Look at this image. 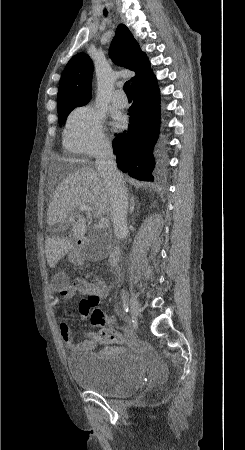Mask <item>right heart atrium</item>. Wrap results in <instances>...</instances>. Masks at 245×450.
I'll return each mask as SVG.
<instances>
[{
	"mask_svg": "<svg viewBox=\"0 0 245 450\" xmlns=\"http://www.w3.org/2000/svg\"><path fill=\"white\" fill-rule=\"evenodd\" d=\"M63 145L67 151L82 157L95 156L106 150L109 141L104 116L93 105L74 109L66 120Z\"/></svg>",
	"mask_w": 245,
	"mask_h": 450,
	"instance_id": "1",
	"label": "right heart atrium"
}]
</instances>
